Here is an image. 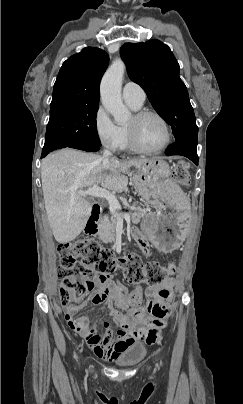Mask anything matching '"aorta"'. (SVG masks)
<instances>
[{"label":"aorta","instance_id":"aorta-1","mask_svg":"<svg viewBox=\"0 0 243 404\" xmlns=\"http://www.w3.org/2000/svg\"><path fill=\"white\" fill-rule=\"evenodd\" d=\"M126 66L122 60H114L105 72L101 86V102L105 110L112 114L115 122H127L131 112L124 106L121 98V86Z\"/></svg>","mask_w":243,"mask_h":404}]
</instances>
